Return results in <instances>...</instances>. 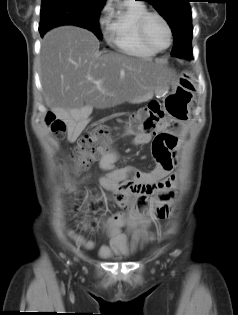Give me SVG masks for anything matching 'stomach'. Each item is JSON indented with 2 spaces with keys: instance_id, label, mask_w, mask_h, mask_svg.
<instances>
[{
  "instance_id": "1",
  "label": "stomach",
  "mask_w": 238,
  "mask_h": 315,
  "mask_svg": "<svg viewBox=\"0 0 238 315\" xmlns=\"http://www.w3.org/2000/svg\"><path fill=\"white\" fill-rule=\"evenodd\" d=\"M193 98H197V84H192L190 72H181L179 84L176 85L174 91L166 95L163 104L164 109H167L166 115L171 116L174 122H189V116H192Z\"/></svg>"
}]
</instances>
